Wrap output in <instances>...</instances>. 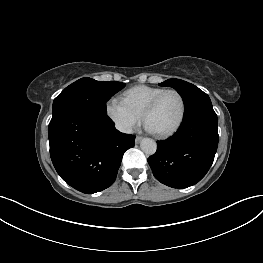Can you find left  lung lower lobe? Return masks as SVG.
<instances>
[{
    "instance_id": "left-lung-lower-lobe-1",
    "label": "left lung lower lobe",
    "mask_w": 263,
    "mask_h": 263,
    "mask_svg": "<svg viewBox=\"0 0 263 263\" xmlns=\"http://www.w3.org/2000/svg\"><path fill=\"white\" fill-rule=\"evenodd\" d=\"M218 146L217 115L213 108L184 117L172 137L158 142L148 163L157 180L173 188L199 182L211 167Z\"/></svg>"
}]
</instances>
